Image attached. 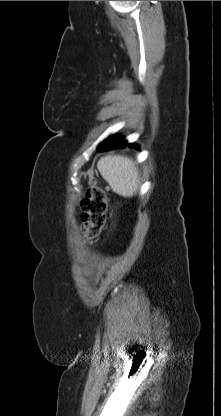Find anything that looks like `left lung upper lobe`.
Instances as JSON below:
<instances>
[{"label":"left lung upper lobe","instance_id":"5c2ea615","mask_svg":"<svg viewBox=\"0 0 221 416\" xmlns=\"http://www.w3.org/2000/svg\"><path fill=\"white\" fill-rule=\"evenodd\" d=\"M116 138H119V136L112 135L109 138H107L106 140H114Z\"/></svg>","mask_w":221,"mask_h":416}]
</instances>
